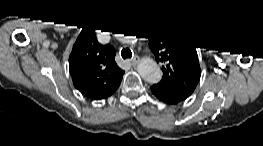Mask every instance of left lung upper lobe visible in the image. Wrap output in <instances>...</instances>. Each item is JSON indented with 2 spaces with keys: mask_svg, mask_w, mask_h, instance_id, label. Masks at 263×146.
<instances>
[{
  "mask_svg": "<svg viewBox=\"0 0 263 146\" xmlns=\"http://www.w3.org/2000/svg\"><path fill=\"white\" fill-rule=\"evenodd\" d=\"M148 39L156 61L162 63L160 83L185 100L193 93L201 75L195 47L180 33L170 29H149Z\"/></svg>",
  "mask_w": 263,
  "mask_h": 146,
  "instance_id": "obj_1",
  "label": "left lung upper lobe"
}]
</instances>
